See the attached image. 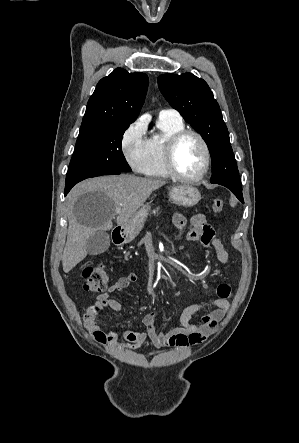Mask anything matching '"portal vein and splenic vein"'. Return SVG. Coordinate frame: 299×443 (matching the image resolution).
<instances>
[{
  "label": "portal vein and splenic vein",
  "instance_id": "1",
  "mask_svg": "<svg viewBox=\"0 0 299 443\" xmlns=\"http://www.w3.org/2000/svg\"><path fill=\"white\" fill-rule=\"evenodd\" d=\"M116 212H117V213H119V212H120V210H117Z\"/></svg>",
  "mask_w": 299,
  "mask_h": 443
}]
</instances>
